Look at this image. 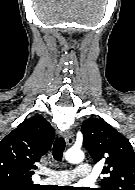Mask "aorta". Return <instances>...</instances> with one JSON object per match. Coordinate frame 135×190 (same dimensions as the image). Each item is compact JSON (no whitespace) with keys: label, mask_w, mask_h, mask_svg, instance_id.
Wrapping results in <instances>:
<instances>
[{"label":"aorta","mask_w":135,"mask_h":190,"mask_svg":"<svg viewBox=\"0 0 135 190\" xmlns=\"http://www.w3.org/2000/svg\"><path fill=\"white\" fill-rule=\"evenodd\" d=\"M65 158L70 163H79L84 159V153L81 150L69 149L65 153Z\"/></svg>","instance_id":"762f6f07"}]
</instances>
